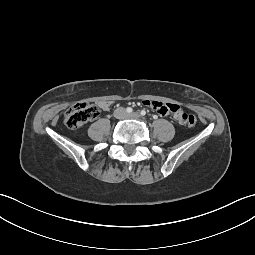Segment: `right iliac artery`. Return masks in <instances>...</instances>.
Returning <instances> with one entry per match:
<instances>
[{"instance_id": "82829eb1", "label": "right iliac artery", "mask_w": 255, "mask_h": 255, "mask_svg": "<svg viewBox=\"0 0 255 255\" xmlns=\"http://www.w3.org/2000/svg\"><path fill=\"white\" fill-rule=\"evenodd\" d=\"M132 111H133V109H132L131 107H127V108H126V112H127V113H131Z\"/></svg>"}]
</instances>
